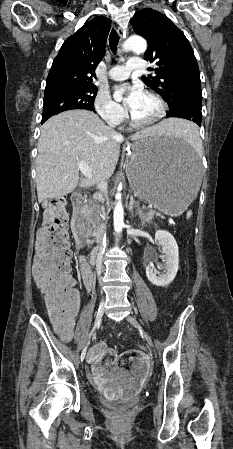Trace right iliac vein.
Returning a JSON list of instances; mask_svg holds the SVG:
<instances>
[{
	"label": "right iliac vein",
	"instance_id": "obj_1",
	"mask_svg": "<svg viewBox=\"0 0 233 449\" xmlns=\"http://www.w3.org/2000/svg\"><path fill=\"white\" fill-rule=\"evenodd\" d=\"M104 308H105V299L103 298V299H102V302H101V305H100V307H99V309H98L97 315H96V321H95V323L98 322L99 320H101V318H102V316H103V313H104ZM83 360H84V359H83ZM81 361H82V360H81Z\"/></svg>",
	"mask_w": 233,
	"mask_h": 449
}]
</instances>
